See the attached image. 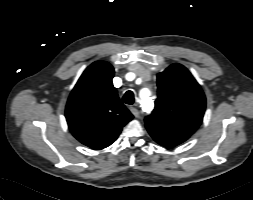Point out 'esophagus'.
<instances>
[{"label":"esophagus","instance_id":"34e87169","mask_svg":"<svg viewBox=\"0 0 253 200\" xmlns=\"http://www.w3.org/2000/svg\"><path fill=\"white\" fill-rule=\"evenodd\" d=\"M130 111H131V113L136 117V118H138V117H140V112H139V110L136 108V107H131L130 108Z\"/></svg>","mask_w":253,"mask_h":200}]
</instances>
